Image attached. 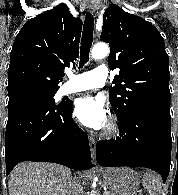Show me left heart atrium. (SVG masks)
<instances>
[{
  "mask_svg": "<svg viewBox=\"0 0 178 195\" xmlns=\"http://www.w3.org/2000/svg\"><path fill=\"white\" fill-rule=\"evenodd\" d=\"M74 115L82 125L94 130L103 128L107 123V111L103 101L90 95L75 101Z\"/></svg>",
  "mask_w": 178,
  "mask_h": 195,
  "instance_id": "obj_1",
  "label": "left heart atrium"
}]
</instances>
